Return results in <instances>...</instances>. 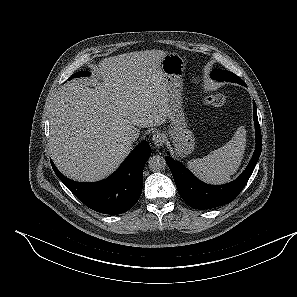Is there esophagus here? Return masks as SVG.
<instances>
[{
	"mask_svg": "<svg viewBox=\"0 0 297 297\" xmlns=\"http://www.w3.org/2000/svg\"><path fill=\"white\" fill-rule=\"evenodd\" d=\"M152 141H153L154 145L159 148V147L163 146V144L165 142V136L162 133L157 132L153 135Z\"/></svg>",
	"mask_w": 297,
	"mask_h": 297,
	"instance_id": "1",
	"label": "esophagus"
}]
</instances>
